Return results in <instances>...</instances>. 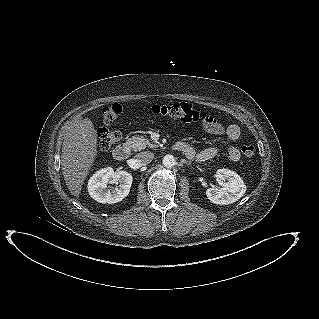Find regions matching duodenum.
<instances>
[{
	"instance_id": "1",
	"label": "duodenum",
	"mask_w": 319,
	"mask_h": 319,
	"mask_svg": "<svg viewBox=\"0 0 319 319\" xmlns=\"http://www.w3.org/2000/svg\"><path fill=\"white\" fill-rule=\"evenodd\" d=\"M174 149L186 154V148L183 144L177 143L174 145ZM130 147L127 143L118 145L113 151V157L117 161H123L129 156Z\"/></svg>"
}]
</instances>
